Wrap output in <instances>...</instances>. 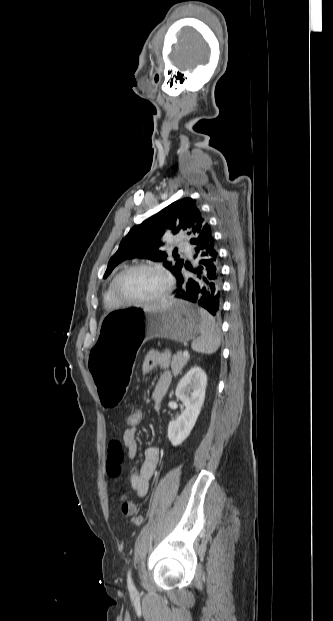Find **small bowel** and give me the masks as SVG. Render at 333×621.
<instances>
[{"label":"small bowel","instance_id":"c3829d8e","mask_svg":"<svg viewBox=\"0 0 333 621\" xmlns=\"http://www.w3.org/2000/svg\"><path fill=\"white\" fill-rule=\"evenodd\" d=\"M169 365L167 355L157 351H149L145 355L142 363L143 373H150L156 367L166 369ZM171 383V374L164 371L155 383L152 397L158 403L167 393ZM123 445L127 449L129 458L136 456L138 445L136 441V426H128L123 435ZM123 461L122 444L112 441L108 447L107 472L112 478L117 477L121 472ZM159 461V452L155 447H148L145 450L144 458L139 465L133 467L130 472L129 482L132 490L139 497L147 494L149 481L153 476Z\"/></svg>","mask_w":333,"mask_h":621}]
</instances>
